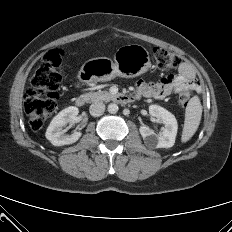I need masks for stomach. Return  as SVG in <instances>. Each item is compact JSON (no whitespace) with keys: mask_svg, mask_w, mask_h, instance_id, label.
Instances as JSON below:
<instances>
[{"mask_svg":"<svg viewBox=\"0 0 232 232\" xmlns=\"http://www.w3.org/2000/svg\"><path fill=\"white\" fill-rule=\"evenodd\" d=\"M151 67L149 52L141 45L129 44L120 47L111 60L98 57L86 61L79 72V79L86 83L110 81L116 76L132 78Z\"/></svg>","mask_w":232,"mask_h":232,"instance_id":"stomach-1","label":"stomach"}]
</instances>
